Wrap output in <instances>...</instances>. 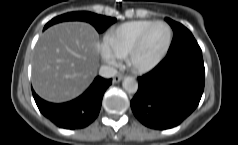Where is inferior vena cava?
Here are the masks:
<instances>
[{
  "label": "inferior vena cava",
  "instance_id": "602c4592",
  "mask_svg": "<svg viewBox=\"0 0 238 145\" xmlns=\"http://www.w3.org/2000/svg\"><path fill=\"white\" fill-rule=\"evenodd\" d=\"M117 74V70L108 65H102L99 70V75L104 78H111L114 77Z\"/></svg>",
  "mask_w": 238,
  "mask_h": 145
}]
</instances>
